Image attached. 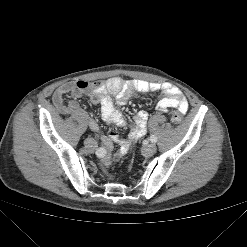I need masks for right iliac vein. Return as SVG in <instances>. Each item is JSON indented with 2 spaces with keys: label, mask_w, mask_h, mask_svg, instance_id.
Wrapping results in <instances>:
<instances>
[{
  "label": "right iliac vein",
  "mask_w": 247,
  "mask_h": 247,
  "mask_svg": "<svg viewBox=\"0 0 247 247\" xmlns=\"http://www.w3.org/2000/svg\"><path fill=\"white\" fill-rule=\"evenodd\" d=\"M84 145L88 150H94L96 148V142L92 138H87L84 142Z\"/></svg>",
  "instance_id": "63e3f726"
}]
</instances>
